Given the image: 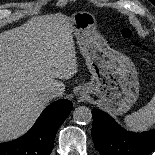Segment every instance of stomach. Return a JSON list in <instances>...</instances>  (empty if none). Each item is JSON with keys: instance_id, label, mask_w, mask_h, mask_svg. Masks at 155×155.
Here are the masks:
<instances>
[{"instance_id": "obj_1", "label": "stomach", "mask_w": 155, "mask_h": 155, "mask_svg": "<svg viewBox=\"0 0 155 155\" xmlns=\"http://www.w3.org/2000/svg\"><path fill=\"white\" fill-rule=\"evenodd\" d=\"M69 28L91 73L82 94L96 95L115 115L126 113L139 96L138 73L131 59L110 48L96 31L95 18L78 13L70 18Z\"/></svg>"}]
</instances>
